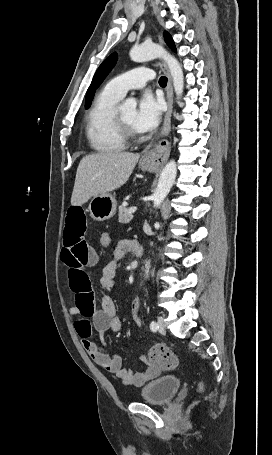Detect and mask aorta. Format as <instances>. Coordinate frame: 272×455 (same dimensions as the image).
Masks as SVG:
<instances>
[{
  "label": "aorta",
  "instance_id": "aorta-1",
  "mask_svg": "<svg viewBox=\"0 0 272 455\" xmlns=\"http://www.w3.org/2000/svg\"><path fill=\"white\" fill-rule=\"evenodd\" d=\"M130 57L135 62H144L155 58H163L169 68L177 99H180L184 89V75L182 67L175 57L167 53L160 45L155 43H143L139 46L133 47L130 51ZM136 106V100L134 98H128L121 106V110L123 112L135 110ZM176 175L177 165L174 160H171L165 165L160 174L156 190L152 197L154 208H158L164 201L174 184ZM145 267L146 274L148 275L150 268L149 261L146 262Z\"/></svg>",
  "mask_w": 272,
  "mask_h": 455
}]
</instances>
